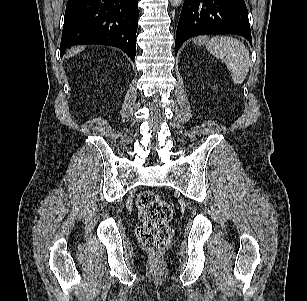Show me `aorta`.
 Masks as SVG:
<instances>
[{
  "label": "aorta",
  "mask_w": 307,
  "mask_h": 301,
  "mask_svg": "<svg viewBox=\"0 0 307 301\" xmlns=\"http://www.w3.org/2000/svg\"><path fill=\"white\" fill-rule=\"evenodd\" d=\"M170 2L173 6H179L183 0H170Z\"/></svg>",
  "instance_id": "762f6f07"
}]
</instances>
